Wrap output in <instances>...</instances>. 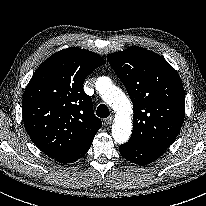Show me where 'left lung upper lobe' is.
Listing matches in <instances>:
<instances>
[{
  "label": "left lung upper lobe",
  "instance_id": "left-lung-upper-lobe-1",
  "mask_svg": "<svg viewBox=\"0 0 206 206\" xmlns=\"http://www.w3.org/2000/svg\"><path fill=\"white\" fill-rule=\"evenodd\" d=\"M107 59L132 100L130 141L166 150L178 136L185 115V93L176 70L160 55L133 46Z\"/></svg>",
  "mask_w": 206,
  "mask_h": 206
}]
</instances>
